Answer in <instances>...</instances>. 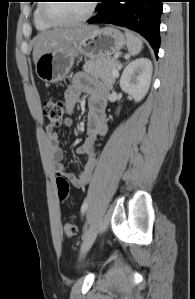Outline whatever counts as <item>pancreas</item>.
I'll list each match as a JSON object with an SVG mask.
<instances>
[{"mask_svg": "<svg viewBox=\"0 0 195 299\" xmlns=\"http://www.w3.org/2000/svg\"><path fill=\"white\" fill-rule=\"evenodd\" d=\"M116 67V59L106 57L85 62L83 70L88 75L101 79L109 88H112L116 78L113 75V69Z\"/></svg>", "mask_w": 195, "mask_h": 299, "instance_id": "obj_1", "label": "pancreas"}]
</instances>
